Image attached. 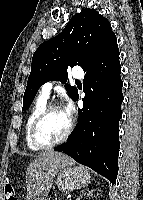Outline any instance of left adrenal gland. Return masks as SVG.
I'll use <instances>...</instances> for the list:
<instances>
[{
    "mask_svg": "<svg viewBox=\"0 0 143 200\" xmlns=\"http://www.w3.org/2000/svg\"><path fill=\"white\" fill-rule=\"evenodd\" d=\"M93 194V190L87 189L86 192H82L77 200H81L83 197H90Z\"/></svg>",
    "mask_w": 143,
    "mask_h": 200,
    "instance_id": "obj_1",
    "label": "left adrenal gland"
}]
</instances>
